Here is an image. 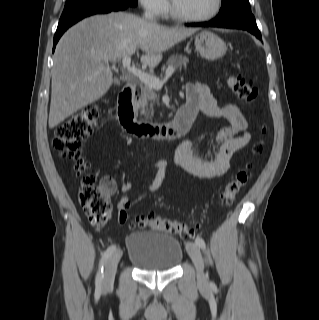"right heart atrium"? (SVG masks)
I'll use <instances>...</instances> for the list:
<instances>
[{"instance_id":"obj_1","label":"right heart atrium","mask_w":319,"mask_h":320,"mask_svg":"<svg viewBox=\"0 0 319 320\" xmlns=\"http://www.w3.org/2000/svg\"><path fill=\"white\" fill-rule=\"evenodd\" d=\"M139 2L145 11L156 17L165 15L168 10L166 0H139Z\"/></svg>"}]
</instances>
